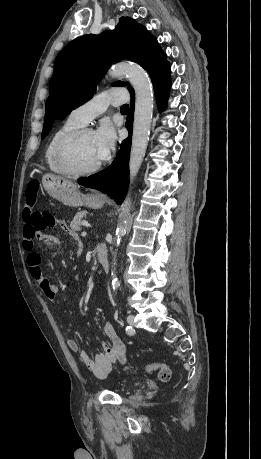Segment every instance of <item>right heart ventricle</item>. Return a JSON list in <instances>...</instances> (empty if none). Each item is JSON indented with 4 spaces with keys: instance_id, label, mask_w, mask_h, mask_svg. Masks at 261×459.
Segmentation results:
<instances>
[{
    "instance_id": "e07e8e85",
    "label": "right heart ventricle",
    "mask_w": 261,
    "mask_h": 459,
    "mask_svg": "<svg viewBox=\"0 0 261 459\" xmlns=\"http://www.w3.org/2000/svg\"><path fill=\"white\" fill-rule=\"evenodd\" d=\"M83 125L77 123L70 117H68L62 124H60L50 135L48 142L45 147L44 151V159L47 164V167L58 174H65L56 164L55 161V148L62 136H64L66 133L77 129L79 127H82Z\"/></svg>"
}]
</instances>
